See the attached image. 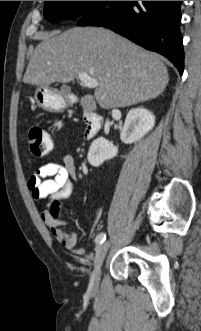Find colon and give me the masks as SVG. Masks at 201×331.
<instances>
[{
  "label": "colon",
  "instance_id": "colon-1",
  "mask_svg": "<svg viewBox=\"0 0 201 331\" xmlns=\"http://www.w3.org/2000/svg\"><path fill=\"white\" fill-rule=\"evenodd\" d=\"M27 140L30 151L38 158L46 156L53 147L51 135L40 127L31 128Z\"/></svg>",
  "mask_w": 201,
  "mask_h": 331
}]
</instances>
